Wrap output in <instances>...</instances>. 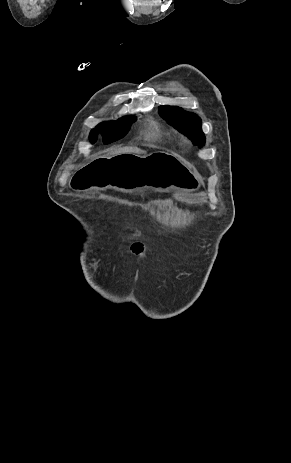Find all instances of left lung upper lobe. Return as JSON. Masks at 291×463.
I'll use <instances>...</instances> for the list:
<instances>
[{
    "label": "left lung upper lobe",
    "mask_w": 291,
    "mask_h": 463,
    "mask_svg": "<svg viewBox=\"0 0 291 463\" xmlns=\"http://www.w3.org/2000/svg\"><path fill=\"white\" fill-rule=\"evenodd\" d=\"M158 111L163 119L188 136L195 145L201 147L205 144V136L201 129V119L196 114L168 105L160 106Z\"/></svg>",
    "instance_id": "left-lung-upper-lobe-1"
}]
</instances>
